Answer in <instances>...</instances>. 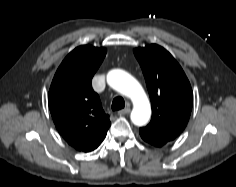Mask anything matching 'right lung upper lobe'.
<instances>
[{
  "label": "right lung upper lobe",
  "instance_id": "obj_1",
  "mask_svg": "<svg viewBox=\"0 0 236 187\" xmlns=\"http://www.w3.org/2000/svg\"><path fill=\"white\" fill-rule=\"evenodd\" d=\"M105 55V48H75L59 66L50 86L48 102L55 126L78 151L96 149L111 125L91 86Z\"/></svg>",
  "mask_w": 236,
  "mask_h": 187
}]
</instances>
